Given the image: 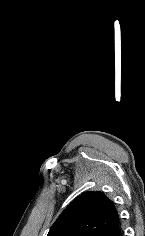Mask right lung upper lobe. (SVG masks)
I'll return each instance as SVG.
<instances>
[{"mask_svg":"<svg viewBox=\"0 0 145 236\" xmlns=\"http://www.w3.org/2000/svg\"><path fill=\"white\" fill-rule=\"evenodd\" d=\"M119 222L114 204L102 192L78 196L54 222L48 236H99Z\"/></svg>","mask_w":145,"mask_h":236,"instance_id":"cb5924a9","label":"right lung upper lobe"}]
</instances>
